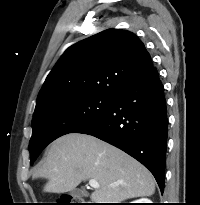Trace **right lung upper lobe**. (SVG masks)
I'll use <instances>...</instances> for the list:
<instances>
[{"label":"right lung upper lobe","instance_id":"1","mask_svg":"<svg viewBox=\"0 0 200 205\" xmlns=\"http://www.w3.org/2000/svg\"><path fill=\"white\" fill-rule=\"evenodd\" d=\"M152 68L149 53L132 32L102 31L64 52L39 92L34 115L73 97H114Z\"/></svg>","mask_w":200,"mask_h":205}]
</instances>
